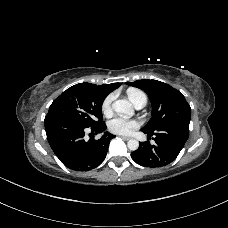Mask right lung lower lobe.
<instances>
[{
	"mask_svg": "<svg viewBox=\"0 0 228 228\" xmlns=\"http://www.w3.org/2000/svg\"><path fill=\"white\" fill-rule=\"evenodd\" d=\"M101 133L105 123L86 127L65 118L45 119L47 140L61 162L74 171H88L98 167L106 157L109 142L115 136L105 133L100 139L84 140L85 131Z\"/></svg>",
	"mask_w": 228,
	"mask_h": 228,
	"instance_id": "1",
	"label": "right lung lower lobe"
}]
</instances>
